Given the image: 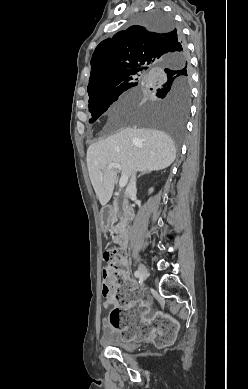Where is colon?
Returning <instances> with one entry per match:
<instances>
[{"label": "colon", "instance_id": "obj_1", "mask_svg": "<svg viewBox=\"0 0 248 389\" xmlns=\"http://www.w3.org/2000/svg\"><path fill=\"white\" fill-rule=\"evenodd\" d=\"M103 295L118 303L109 316L110 325L120 330L127 344L138 340H147L148 336L156 339L158 350H163L168 344H173L177 322L169 321L170 311L156 312L151 315L150 322H142L148 318V305H144L139 294V287L133 278H128L125 272L124 254L119 249H112L103 255Z\"/></svg>", "mask_w": 248, "mask_h": 389}]
</instances>
